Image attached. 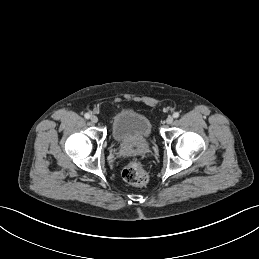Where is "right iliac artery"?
Masks as SVG:
<instances>
[{
  "label": "right iliac artery",
  "instance_id": "1",
  "mask_svg": "<svg viewBox=\"0 0 259 259\" xmlns=\"http://www.w3.org/2000/svg\"><path fill=\"white\" fill-rule=\"evenodd\" d=\"M84 117H85L86 119H89V118H90V114H89V113H86V114L84 115Z\"/></svg>",
  "mask_w": 259,
  "mask_h": 259
}]
</instances>
